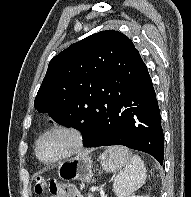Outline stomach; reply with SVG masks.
<instances>
[{
  "instance_id": "0dacf381",
  "label": "stomach",
  "mask_w": 191,
  "mask_h": 197,
  "mask_svg": "<svg viewBox=\"0 0 191 197\" xmlns=\"http://www.w3.org/2000/svg\"><path fill=\"white\" fill-rule=\"evenodd\" d=\"M100 160L103 169L106 171H115L122 167L119 162L110 157L107 151L102 154ZM58 175L62 180L89 182L93 175L91 157L87 154H80L74 157L59 167Z\"/></svg>"
}]
</instances>
